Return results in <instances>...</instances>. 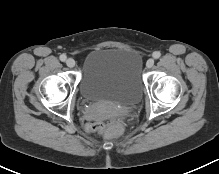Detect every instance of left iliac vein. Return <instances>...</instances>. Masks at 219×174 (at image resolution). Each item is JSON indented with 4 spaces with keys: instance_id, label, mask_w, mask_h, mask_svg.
Segmentation results:
<instances>
[{
    "instance_id": "1",
    "label": "left iliac vein",
    "mask_w": 219,
    "mask_h": 174,
    "mask_svg": "<svg viewBox=\"0 0 219 174\" xmlns=\"http://www.w3.org/2000/svg\"><path fill=\"white\" fill-rule=\"evenodd\" d=\"M153 65H154V59H152V58L148 59L146 62L147 68H152Z\"/></svg>"
}]
</instances>
